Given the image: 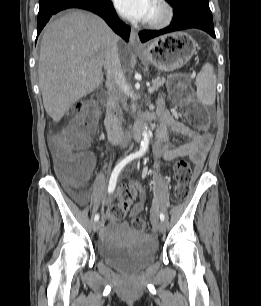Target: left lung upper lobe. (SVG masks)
<instances>
[{
	"label": "left lung upper lobe",
	"instance_id": "1",
	"mask_svg": "<svg viewBox=\"0 0 261 306\" xmlns=\"http://www.w3.org/2000/svg\"><path fill=\"white\" fill-rule=\"evenodd\" d=\"M168 3H170L171 6L177 5L179 2L183 0H166Z\"/></svg>",
	"mask_w": 261,
	"mask_h": 306
}]
</instances>
